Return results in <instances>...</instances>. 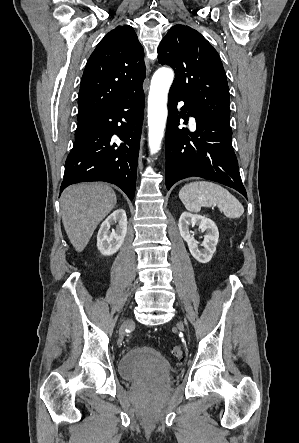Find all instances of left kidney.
<instances>
[{
	"label": "left kidney",
	"mask_w": 299,
	"mask_h": 443,
	"mask_svg": "<svg viewBox=\"0 0 299 443\" xmlns=\"http://www.w3.org/2000/svg\"><path fill=\"white\" fill-rule=\"evenodd\" d=\"M198 225L201 232H206L202 243L203 249L198 248L193 236L190 235L189 226ZM178 227L181 237L187 242L191 255L200 263L211 260L216 251L219 232L216 224L209 218L189 212H183L179 218Z\"/></svg>",
	"instance_id": "5707ae66"
}]
</instances>
